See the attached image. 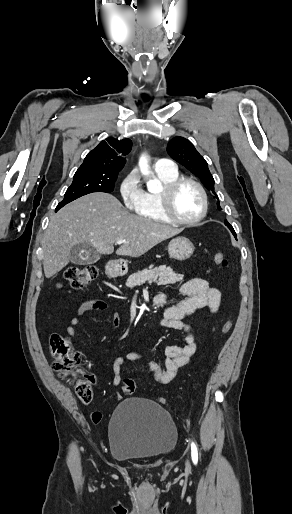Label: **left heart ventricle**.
<instances>
[{"label":"left heart ventricle","mask_w":292,"mask_h":514,"mask_svg":"<svg viewBox=\"0 0 292 514\" xmlns=\"http://www.w3.org/2000/svg\"><path fill=\"white\" fill-rule=\"evenodd\" d=\"M172 208L175 215L182 220L195 218L201 208L200 195L191 185L180 187L173 195Z\"/></svg>","instance_id":"1"}]
</instances>
